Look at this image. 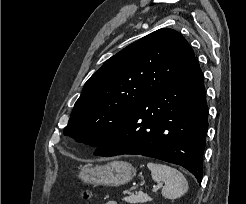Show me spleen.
Instances as JSON below:
<instances>
[{"mask_svg": "<svg viewBox=\"0 0 246 204\" xmlns=\"http://www.w3.org/2000/svg\"><path fill=\"white\" fill-rule=\"evenodd\" d=\"M152 179L163 182L162 195L167 199H176L188 191V182L185 176L177 169L160 163H147Z\"/></svg>", "mask_w": 246, "mask_h": 204, "instance_id": "obj_1", "label": "spleen"}]
</instances>
